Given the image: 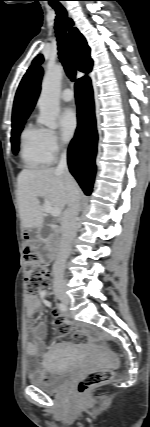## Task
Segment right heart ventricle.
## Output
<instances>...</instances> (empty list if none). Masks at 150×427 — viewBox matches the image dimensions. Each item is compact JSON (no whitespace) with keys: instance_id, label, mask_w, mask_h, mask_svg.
Masks as SVG:
<instances>
[{"instance_id":"right-heart-ventricle-1","label":"right heart ventricle","mask_w":150,"mask_h":427,"mask_svg":"<svg viewBox=\"0 0 150 427\" xmlns=\"http://www.w3.org/2000/svg\"><path fill=\"white\" fill-rule=\"evenodd\" d=\"M44 129L27 124L19 137V155L26 168L38 169L48 165L49 159L44 148Z\"/></svg>"}]
</instances>
